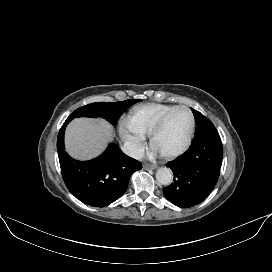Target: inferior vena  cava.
Returning <instances> with one entry per match:
<instances>
[{
    "label": "inferior vena cava",
    "mask_w": 272,
    "mask_h": 272,
    "mask_svg": "<svg viewBox=\"0 0 272 272\" xmlns=\"http://www.w3.org/2000/svg\"><path fill=\"white\" fill-rule=\"evenodd\" d=\"M122 151L127 156L138 160L141 159L144 155L141 148L137 144L132 142H125L122 146Z\"/></svg>",
    "instance_id": "602c4592"
}]
</instances>
